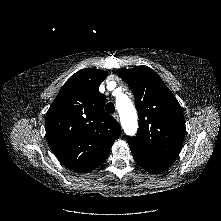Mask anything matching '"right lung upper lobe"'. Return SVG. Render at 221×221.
Here are the masks:
<instances>
[{
    "label": "right lung upper lobe",
    "mask_w": 221,
    "mask_h": 221,
    "mask_svg": "<svg viewBox=\"0 0 221 221\" xmlns=\"http://www.w3.org/2000/svg\"><path fill=\"white\" fill-rule=\"evenodd\" d=\"M106 76V71L91 68L75 73L46 114L51 150L76 172H90L101 165L121 135L119 123L104 111L106 98L98 90Z\"/></svg>",
    "instance_id": "right-lung-upper-lobe-1"
}]
</instances>
